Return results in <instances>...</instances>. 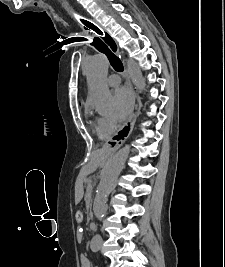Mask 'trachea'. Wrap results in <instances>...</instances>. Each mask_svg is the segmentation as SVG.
I'll return each mask as SVG.
<instances>
[{
    "label": "trachea",
    "instance_id": "obj_1",
    "mask_svg": "<svg viewBox=\"0 0 225 267\" xmlns=\"http://www.w3.org/2000/svg\"><path fill=\"white\" fill-rule=\"evenodd\" d=\"M81 22L84 24L85 29H91V30L95 31L97 34L103 35L102 31L97 26H95L93 23H91L87 20H84V19H81ZM103 40L107 44L110 45V37H108L107 34H106V37L103 38ZM92 45L100 52L106 54V56L108 57V59L110 61L111 66L116 71L121 72L124 70V67H123L121 60L115 54H113L111 52V50L108 48V46L100 38L95 37L93 42H92Z\"/></svg>",
    "mask_w": 225,
    "mask_h": 267
}]
</instances>
